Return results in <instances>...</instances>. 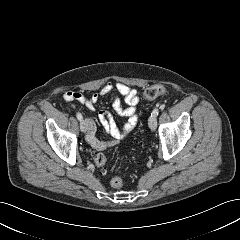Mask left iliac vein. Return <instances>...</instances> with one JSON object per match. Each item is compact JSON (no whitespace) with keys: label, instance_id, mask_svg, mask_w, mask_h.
I'll return each mask as SVG.
<instances>
[{"label":"left iliac vein","instance_id":"left-iliac-vein-1","mask_svg":"<svg viewBox=\"0 0 240 240\" xmlns=\"http://www.w3.org/2000/svg\"><path fill=\"white\" fill-rule=\"evenodd\" d=\"M148 125L151 130H155L157 126V120L156 117H149L148 119Z\"/></svg>","mask_w":240,"mask_h":240}]
</instances>
